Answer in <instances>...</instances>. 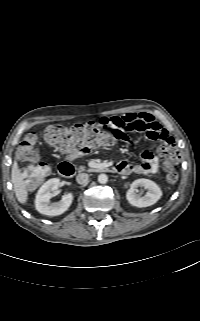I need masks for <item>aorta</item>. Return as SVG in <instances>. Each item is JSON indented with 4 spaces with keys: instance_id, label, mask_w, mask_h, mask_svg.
Segmentation results:
<instances>
[{
    "instance_id": "aorta-1",
    "label": "aorta",
    "mask_w": 200,
    "mask_h": 321,
    "mask_svg": "<svg viewBox=\"0 0 200 321\" xmlns=\"http://www.w3.org/2000/svg\"><path fill=\"white\" fill-rule=\"evenodd\" d=\"M98 182L101 184H105L108 182V176L106 174H100L98 176Z\"/></svg>"
}]
</instances>
